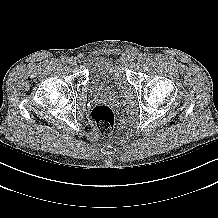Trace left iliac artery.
<instances>
[{
    "instance_id": "1",
    "label": "left iliac artery",
    "mask_w": 218,
    "mask_h": 218,
    "mask_svg": "<svg viewBox=\"0 0 218 218\" xmlns=\"http://www.w3.org/2000/svg\"><path fill=\"white\" fill-rule=\"evenodd\" d=\"M144 56L146 60H150L152 58V55L150 53H145Z\"/></svg>"
}]
</instances>
